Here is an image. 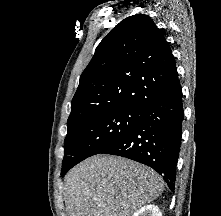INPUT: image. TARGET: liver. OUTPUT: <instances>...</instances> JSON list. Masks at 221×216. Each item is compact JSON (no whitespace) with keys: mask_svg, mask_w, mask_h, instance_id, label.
I'll list each match as a JSON object with an SVG mask.
<instances>
[{"mask_svg":"<svg viewBox=\"0 0 221 216\" xmlns=\"http://www.w3.org/2000/svg\"><path fill=\"white\" fill-rule=\"evenodd\" d=\"M68 216H132L159 197L163 179L151 168L116 156H93L64 179Z\"/></svg>","mask_w":221,"mask_h":216,"instance_id":"liver-1","label":"liver"}]
</instances>
